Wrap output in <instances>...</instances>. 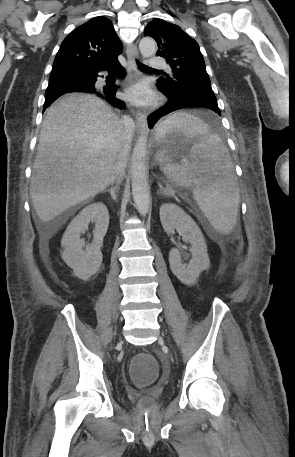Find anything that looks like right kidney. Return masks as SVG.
<instances>
[{
    "label": "right kidney",
    "mask_w": 295,
    "mask_h": 457,
    "mask_svg": "<svg viewBox=\"0 0 295 457\" xmlns=\"http://www.w3.org/2000/svg\"><path fill=\"white\" fill-rule=\"evenodd\" d=\"M90 222L95 223L94 238L91 245L85 246L80 236L88 229ZM108 226V209L101 202L86 206L68 225L61 240L64 248L61 256L78 278L88 280L99 270L102 263L100 248Z\"/></svg>",
    "instance_id": "1"
}]
</instances>
